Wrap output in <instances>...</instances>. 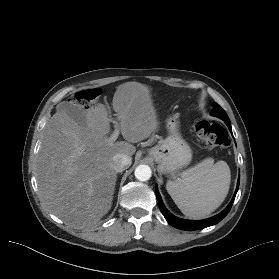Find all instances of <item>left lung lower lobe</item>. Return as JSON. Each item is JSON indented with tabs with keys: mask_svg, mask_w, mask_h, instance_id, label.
Returning <instances> with one entry per match:
<instances>
[{
	"mask_svg": "<svg viewBox=\"0 0 279 279\" xmlns=\"http://www.w3.org/2000/svg\"><path fill=\"white\" fill-rule=\"evenodd\" d=\"M227 126H228L229 130L232 132L231 124L227 123ZM239 182H240V179H238V183H237V188H236L235 194H234L230 204L226 207V209L223 212H221L220 214H218V215H216V216H214L212 218H209V219L200 220V221H191V220H182V219H179V218L173 216L165 208V206H164V204H163V202L161 200L159 192L156 191L158 205H159V208H160L162 214L164 215L165 219L172 226H174L175 228L182 229V230H198V229H203V228L215 225L216 223L220 222L228 214V212L230 211L231 206H232V204L234 202L236 193L238 191Z\"/></svg>",
	"mask_w": 279,
	"mask_h": 279,
	"instance_id": "left-lung-lower-lobe-1",
	"label": "left lung lower lobe"
}]
</instances>
